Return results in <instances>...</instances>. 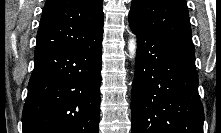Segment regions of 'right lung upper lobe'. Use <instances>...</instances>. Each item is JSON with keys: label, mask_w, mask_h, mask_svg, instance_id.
<instances>
[{"label": "right lung upper lobe", "mask_w": 221, "mask_h": 133, "mask_svg": "<svg viewBox=\"0 0 221 133\" xmlns=\"http://www.w3.org/2000/svg\"><path fill=\"white\" fill-rule=\"evenodd\" d=\"M102 30V0H47L34 54L77 47Z\"/></svg>", "instance_id": "obj_1"}]
</instances>
